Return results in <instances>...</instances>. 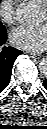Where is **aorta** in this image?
<instances>
[{
	"label": "aorta",
	"instance_id": "obj_1",
	"mask_svg": "<svg viewBox=\"0 0 47 129\" xmlns=\"http://www.w3.org/2000/svg\"><path fill=\"white\" fill-rule=\"evenodd\" d=\"M17 18L21 21L31 22L34 21L37 15V9L31 5L24 4L21 5L16 10ZM41 70L44 74H47V62L43 60L41 63Z\"/></svg>",
	"mask_w": 47,
	"mask_h": 129
}]
</instances>
